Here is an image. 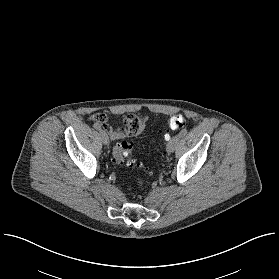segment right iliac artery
<instances>
[{
  "mask_svg": "<svg viewBox=\"0 0 279 279\" xmlns=\"http://www.w3.org/2000/svg\"><path fill=\"white\" fill-rule=\"evenodd\" d=\"M93 127H94L96 130H99L100 132L102 131L101 126H100V124H98V123H94V124H93Z\"/></svg>",
  "mask_w": 279,
  "mask_h": 279,
  "instance_id": "obj_1",
  "label": "right iliac artery"
}]
</instances>
